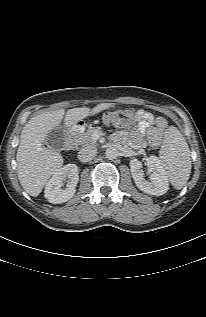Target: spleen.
Listing matches in <instances>:
<instances>
[{"instance_id": "3e777b00", "label": "spleen", "mask_w": 206, "mask_h": 317, "mask_svg": "<svg viewBox=\"0 0 206 317\" xmlns=\"http://www.w3.org/2000/svg\"><path fill=\"white\" fill-rule=\"evenodd\" d=\"M159 158L172 186L176 189L183 188L191 173L190 150L175 126L166 129Z\"/></svg>"}]
</instances>
